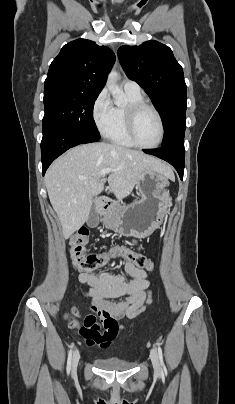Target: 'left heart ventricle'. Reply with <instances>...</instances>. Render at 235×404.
Instances as JSON below:
<instances>
[{"label": "left heart ventricle", "mask_w": 235, "mask_h": 404, "mask_svg": "<svg viewBox=\"0 0 235 404\" xmlns=\"http://www.w3.org/2000/svg\"><path fill=\"white\" fill-rule=\"evenodd\" d=\"M137 140L144 145L155 144L160 135L159 122L150 110H143L137 117L135 124Z\"/></svg>", "instance_id": "left-heart-ventricle-1"}]
</instances>
